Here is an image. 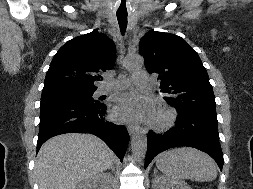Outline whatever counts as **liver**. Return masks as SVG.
Wrapping results in <instances>:
<instances>
[{
	"label": "liver",
	"mask_w": 253,
	"mask_h": 189,
	"mask_svg": "<svg viewBox=\"0 0 253 189\" xmlns=\"http://www.w3.org/2000/svg\"><path fill=\"white\" fill-rule=\"evenodd\" d=\"M116 156L90 134H62L41 147L36 164L39 189H75L84 180L113 166Z\"/></svg>",
	"instance_id": "1"
}]
</instances>
